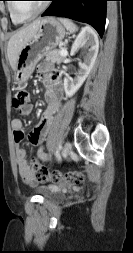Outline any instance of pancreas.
Listing matches in <instances>:
<instances>
[{
	"instance_id": "1",
	"label": "pancreas",
	"mask_w": 133,
	"mask_h": 253,
	"mask_svg": "<svg viewBox=\"0 0 133 253\" xmlns=\"http://www.w3.org/2000/svg\"><path fill=\"white\" fill-rule=\"evenodd\" d=\"M46 61H51L53 63H61L65 56L61 55L58 50H50L46 54Z\"/></svg>"
}]
</instances>
